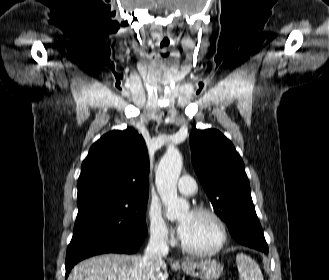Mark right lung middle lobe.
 <instances>
[{
  "mask_svg": "<svg viewBox=\"0 0 329 280\" xmlns=\"http://www.w3.org/2000/svg\"><path fill=\"white\" fill-rule=\"evenodd\" d=\"M147 201L148 196L78 199L79 211L67 250L97 236H109L133 243L143 242L147 234Z\"/></svg>",
  "mask_w": 329,
  "mask_h": 280,
  "instance_id": "right-lung-middle-lobe-1",
  "label": "right lung middle lobe"
}]
</instances>
